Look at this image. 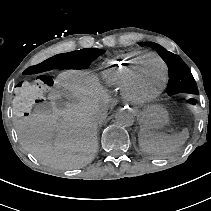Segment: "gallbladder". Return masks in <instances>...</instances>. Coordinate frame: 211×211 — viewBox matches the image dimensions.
Masks as SVG:
<instances>
[{
	"mask_svg": "<svg viewBox=\"0 0 211 211\" xmlns=\"http://www.w3.org/2000/svg\"><path fill=\"white\" fill-rule=\"evenodd\" d=\"M62 96H63L64 98H67V99H72L71 93L68 92V91L63 92V93H62ZM56 106H57L58 108H64V107H65V103H64L63 100H58V101H56Z\"/></svg>",
	"mask_w": 211,
	"mask_h": 211,
	"instance_id": "bac80fb5",
	"label": "gallbladder"
}]
</instances>
